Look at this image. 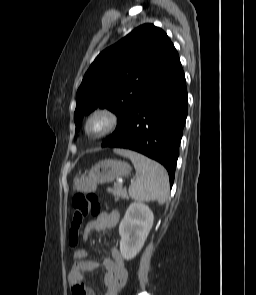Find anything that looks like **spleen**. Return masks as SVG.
<instances>
[{"instance_id":"3e777b00","label":"spleen","mask_w":256,"mask_h":295,"mask_svg":"<svg viewBox=\"0 0 256 295\" xmlns=\"http://www.w3.org/2000/svg\"><path fill=\"white\" fill-rule=\"evenodd\" d=\"M117 152L128 157L139 174L129 187L130 197L137 201L156 200L160 205L164 204L169 195V178L164 167L137 152Z\"/></svg>"}]
</instances>
